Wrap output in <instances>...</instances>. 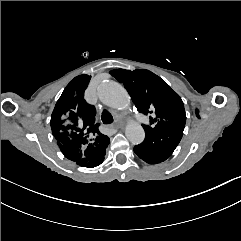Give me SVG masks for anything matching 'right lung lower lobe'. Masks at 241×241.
I'll use <instances>...</instances> for the list:
<instances>
[{
  "mask_svg": "<svg viewBox=\"0 0 241 241\" xmlns=\"http://www.w3.org/2000/svg\"><path fill=\"white\" fill-rule=\"evenodd\" d=\"M108 145H109V143H108V144L105 146V148L102 150V156H101L100 159L97 161V164H95L94 166L89 167V168H93V167H95V166H98V165H100V164L103 162L104 156H105V154H106V148H107Z\"/></svg>",
  "mask_w": 241,
  "mask_h": 241,
  "instance_id": "right-lung-lower-lobe-1",
  "label": "right lung lower lobe"
}]
</instances>
